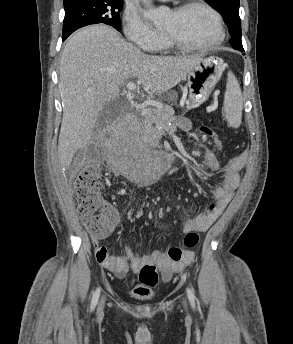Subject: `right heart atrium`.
<instances>
[{"mask_svg":"<svg viewBox=\"0 0 293 344\" xmlns=\"http://www.w3.org/2000/svg\"><path fill=\"white\" fill-rule=\"evenodd\" d=\"M123 30L129 43L138 50L152 51L162 41L163 34L152 28L143 18L132 10L123 16Z\"/></svg>","mask_w":293,"mask_h":344,"instance_id":"right-heart-atrium-1","label":"right heart atrium"}]
</instances>
